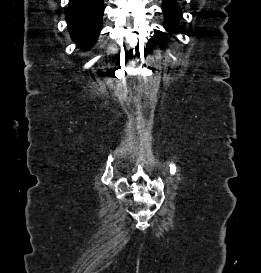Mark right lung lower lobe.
I'll list each match as a JSON object with an SVG mask.
<instances>
[{
  "instance_id": "right-lung-lower-lobe-1",
  "label": "right lung lower lobe",
  "mask_w": 261,
  "mask_h": 273,
  "mask_svg": "<svg viewBox=\"0 0 261 273\" xmlns=\"http://www.w3.org/2000/svg\"><path fill=\"white\" fill-rule=\"evenodd\" d=\"M103 0H69L66 21L71 37L86 49L97 39L102 28Z\"/></svg>"
}]
</instances>
